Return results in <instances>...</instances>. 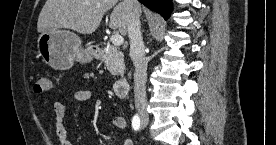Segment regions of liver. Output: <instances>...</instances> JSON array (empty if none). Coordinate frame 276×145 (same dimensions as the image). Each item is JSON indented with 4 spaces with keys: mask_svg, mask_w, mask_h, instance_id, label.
Segmentation results:
<instances>
[{
    "mask_svg": "<svg viewBox=\"0 0 276 145\" xmlns=\"http://www.w3.org/2000/svg\"><path fill=\"white\" fill-rule=\"evenodd\" d=\"M117 3L118 0H46L39 14L37 31L54 32L68 28L81 34H92L103 15L113 8L109 27L126 35L130 12L123 2Z\"/></svg>",
    "mask_w": 276,
    "mask_h": 145,
    "instance_id": "liver-1",
    "label": "liver"
}]
</instances>
